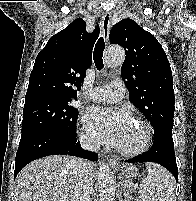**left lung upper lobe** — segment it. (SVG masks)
Masks as SVG:
<instances>
[{"label": "left lung upper lobe", "instance_id": "1", "mask_svg": "<svg viewBox=\"0 0 196 201\" xmlns=\"http://www.w3.org/2000/svg\"><path fill=\"white\" fill-rule=\"evenodd\" d=\"M110 41L125 49L121 76L128 87L130 101L151 122L155 132L172 129L173 77L158 40L134 20L124 19L112 27Z\"/></svg>", "mask_w": 196, "mask_h": 201}]
</instances>
